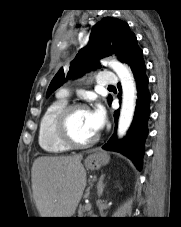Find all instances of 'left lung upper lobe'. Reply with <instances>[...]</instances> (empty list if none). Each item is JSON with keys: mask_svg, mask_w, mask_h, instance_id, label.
Returning a JSON list of instances; mask_svg holds the SVG:
<instances>
[{"mask_svg": "<svg viewBox=\"0 0 181 227\" xmlns=\"http://www.w3.org/2000/svg\"><path fill=\"white\" fill-rule=\"evenodd\" d=\"M135 45H137V39L126 22L112 17L103 18L93 27L88 45L81 49L70 63L69 72L65 73L61 68L54 76L48 87L46 97L60 87L66 81V78L79 77L83 73L100 66L97 62L99 59L117 55L121 62H125ZM109 101H111V97Z\"/></svg>", "mask_w": 181, "mask_h": 227, "instance_id": "obj_1", "label": "left lung upper lobe"}]
</instances>
